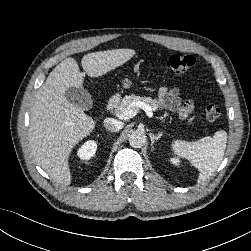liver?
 <instances>
[{
  "label": "liver",
  "instance_id": "1",
  "mask_svg": "<svg viewBox=\"0 0 251 251\" xmlns=\"http://www.w3.org/2000/svg\"><path fill=\"white\" fill-rule=\"evenodd\" d=\"M133 49L99 51L85 55L81 73L74 58H66L49 74L36 93L30 114L29 143L38 163L55 181L69 185V156L94 130L96 122L65 98L70 87L83 88L85 74L99 77L123 65Z\"/></svg>",
  "mask_w": 251,
  "mask_h": 251
}]
</instances>
